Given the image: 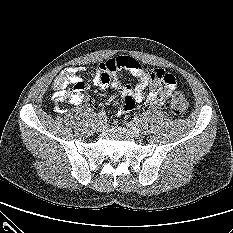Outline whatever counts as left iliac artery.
<instances>
[{"label":"left iliac artery","mask_w":233,"mask_h":233,"mask_svg":"<svg viewBox=\"0 0 233 233\" xmlns=\"http://www.w3.org/2000/svg\"><path fill=\"white\" fill-rule=\"evenodd\" d=\"M134 121L137 123H140L142 121L141 117H135L134 118Z\"/></svg>","instance_id":"44dca946"}]
</instances>
